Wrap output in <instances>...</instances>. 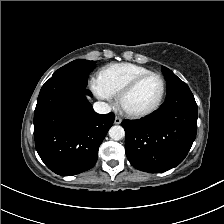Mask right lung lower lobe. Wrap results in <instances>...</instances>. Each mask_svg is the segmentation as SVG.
<instances>
[{
  "label": "right lung lower lobe",
  "mask_w": 224,
  "mask_h": 224,
  "mask_svg": "<svg viewBox=\"0 0 224 224\" xmlns=\"http://www.w3.org/2000/svg\"><path fill=\"white\" fill-rule=\"evenodd\" d=\"M70 80L50 78L34 112L36 150L46 166L62 176L89 170L115 115L97 114L86 99L92 93Z\"/></svg>",
  "instance_id": "98d812e1"
}]
</instances>
